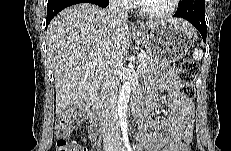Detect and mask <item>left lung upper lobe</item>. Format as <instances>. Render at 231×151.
<instances>
[{
    "instance_id": "obj_1",
    "label": "left lung upper lobe",
    "mask_w": 231,
    "mask_h": 151,
    "mask_svg": "<svg viewBox=\"0 0 231 151\" xmlns=\"http://www.w3.org/2000/svg\"><path fill=\"white\" fill-rule=\"evenodd\" d=\"M184 0L180 1L179 5H181V3L183 2Z\"/></svg>"
}]
</instances>
